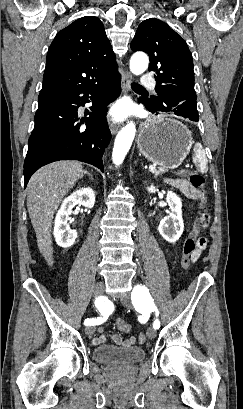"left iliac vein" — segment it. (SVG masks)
<instances>
[{"instance_id":"1","label":"left iliac vein","mask_w":243,"mask_h":409,"mask_svg":"<svg viewBox=\"0 0 243 409\" xmlns=\"http://www.w3.org/2000/svg\"><path fill=\"white\" fill-rule=\"evenodd\" d=\"M121 302L124 306L130 307L131 306V301L129 296H125L121 299ZM146 335L149 339H153L156 337V330L153 327H149L147 329Z\"/></svg>"}]
</instances>
